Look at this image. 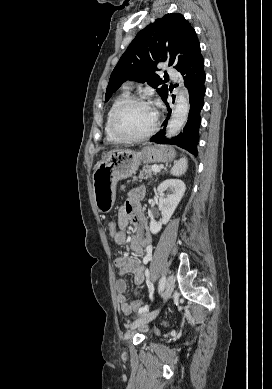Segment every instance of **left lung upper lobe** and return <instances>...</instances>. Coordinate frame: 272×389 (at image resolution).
<instances>
[{
  "label": "left lung upper lobe",
  "instance_id": "1",
  "mask_svg": "<svg viewBox=\"0 0 272 389\" xmlns=\"http://www.w3.org/2000/svg\"><path fill=\"white\" fill-rule=\"evenodd\" d=\"M200 46L197 35L182 14H166L141 30L121 56L111 73L105 101L126 80L147 82L164 100L168 86L155 73L158 62L175 64L179 72L186 66L194 51Z\"/></svg>",
  "mask_w": 272,
  "mask_h": 389
}]
</instances>
